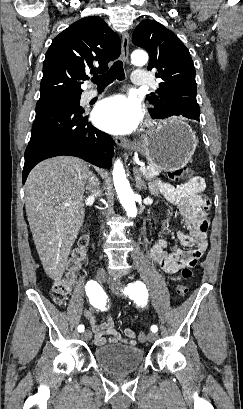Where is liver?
<instances>
[{"label": "liver", "instance_id": "liver-1", "mask_svg": "<svg viewBox=\"0 0 243 409\" xmlns=\"http://www.w3.org/2000/svg\"><path fill=\"white\" fill-rule=\"evenodd\" d=\"M83 160L58 156L46 159L25 183L26 215L46 274L61 280L70 250L84 222L85 185L90 178Z\"/></svg>", "mask_w": 243, "mask_h": 409}]
</instances>
